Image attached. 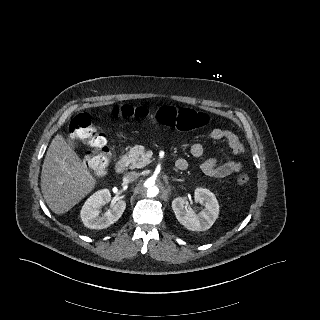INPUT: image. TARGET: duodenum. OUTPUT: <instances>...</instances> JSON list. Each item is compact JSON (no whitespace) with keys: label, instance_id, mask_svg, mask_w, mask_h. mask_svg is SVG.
Listing matches in <instances>:
<instances>
[{"label":"duodenum","instance_id":"duodenum-1","mask_svg":"<svg viewBox=\"0 0 320 320\" xmlns=\"http://www.w3.org/2000/svg\"><path fill=\"white\" fill-rule=\"evenodd\" d=\"M175 167L178 169V170H185L187 168V162L183 159H178L176 162H175ZM126 169V163H125V160L123 158H120L117 162H116V165H115V170L117 173H123Z\"/></svg>","mask_w":320,"mask_h":320}]
</instances>
